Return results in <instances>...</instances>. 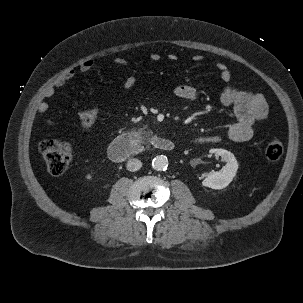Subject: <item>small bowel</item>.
I'll return each instance as SVG.
<instances>
[{
    "label": "small bowel",
    "instance_id": "small-bowel-1",
    "mask_svg": "<svg viewBox=\"0 0 303 303\" xmlns=\"http://www.w3.org/2000/svg\"><path fill=\"white\" fill-rule=\"evenodd\" d=\"M152 62L161 61L162 57L159 53H152L149 56ZM168 60L176 61L177 56L170 54L167 56ZM203 57L195 55L194 62H201ZM115 63L125 68H129V63L124 58H116ZM94 67L91 60L84 61L79 70L83 73L89 72ZM220 74L221 80L225 83L220 101L224 106L233 109L234 120L229 125L225 136L214 135L207 137H200L194 140L195 144H214L221 142L224 138L232 142H245L252 138L254 133V126L267 118L268 106L265 98L261 94L253 93L249 90L240 89L231 84L232 74L225 63L217 62L215 65ZM76 75V71L71 69L60 76L54 84L45 91V97H51L55 93L56 88H60L65 83ZM136 84V78L133 74H129L123 81L122 88L124 90L132 89ZM174 93L177 97L184 100H194L197 97V90L194 86L189 84H180L175 87ZM49 106L46 102H41L37 107V112L44 115L48 112ZM46 123L52 126L54 122L51 119H46Z\"/></svg>",
    "mask_w": 303,
    "mask_h": 303
}]
</instances>
